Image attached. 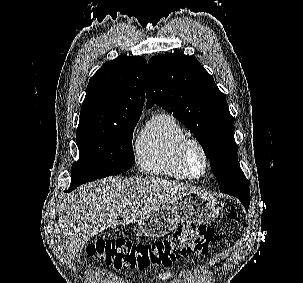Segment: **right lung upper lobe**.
<instances>
[{"label":"right lung upper lobe","mask_w":303,"mask_h":283,"mask_svg":"<svg viewBox=\"0 0 303 283\" xmlns=\"http://www.w3.org/2000/svg\"><path fill=\"white\" fill-rule=\"evenodd\" d=\"M145 72L142 56L121 55L103 64L88 83L79 125L110 126L139 120Z\"/></svg>","instance_id":"cb5924a9"}]
</instances>
